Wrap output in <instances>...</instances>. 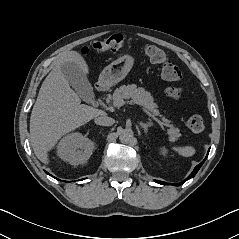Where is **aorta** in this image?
Masks as SVG:
<instances>
[{"label":"aorta","mask_w":239,"mask_h":239,"mask_svg":"<svg viewBox=\"0 0 239 239\" xmlns=\"http://www.w3.org/2000/svg\"><path fill=\"white\" fill-rule=\"evenodd\" d=\"M133 139H134V134L131 129H123L120 132L119 140L122 143H131L133 141Z\"/></svg>","instance_id":"762f6f07"}]
</instances>
